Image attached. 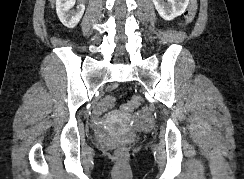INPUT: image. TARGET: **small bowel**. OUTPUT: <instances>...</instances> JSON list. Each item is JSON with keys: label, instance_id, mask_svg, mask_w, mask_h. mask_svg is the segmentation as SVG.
Here are the masks:
<instances>
[{"label": "small bowel", "instance_id": "obj_1", "mask_svg": "<svg viewBox=\"0 0 244 179\" xmlns=\"http://www.w3.org/2000/svg\"><path fill=\"white\" fill-rule=\"evenodd\" d=\"M139 126H152L151 116H140Z\"/></svg>", "mask_w": 244, "mask_h": 179}]
</instances>
